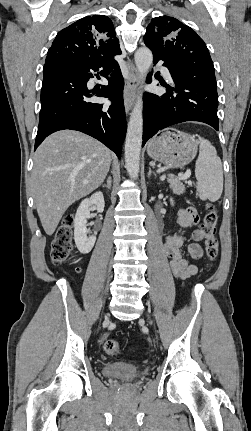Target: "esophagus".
<instances>
[{
	"instance_id": "1",
	"label": "esophagus",
	"mask_w": 251,
	"mask_h": 431,
	"mask_svg": "<svg viewBox=\"0 0 251 431\" xmlns=\"http://www.w3.org/2000/svg\"><path fill=\"white\" fill-rule=\"evenodd\" d=\"M126 68L128 71V79L124 88V106L126 113L129 114L133 107L135 93L138 86V72L130 60L127 61Z\"/></svg>"
}]
</instances>
